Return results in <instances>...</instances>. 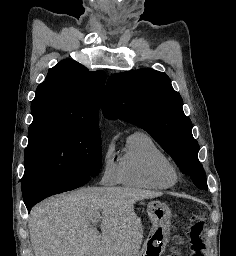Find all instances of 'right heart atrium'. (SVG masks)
Listing matches in <instances>:
<instances>
[{
    "instance_id": "right-heart-atrium-1",
    "label": "right heart atrium",
    "mask_w": 236,
    "mask_h": 256,
    "mask_svg": "<svg viewBox=\"0 0 236 256\" xmlns=\"http://www.w3.org/2000/svg\"><path fill=\"white\" fill-rule=\"evenodd\" d=\"M102 176L101 183L105 186H115L121 183L119 162L115 159L111 145L102 155Z\"/></svg>"
}]
</instances>
